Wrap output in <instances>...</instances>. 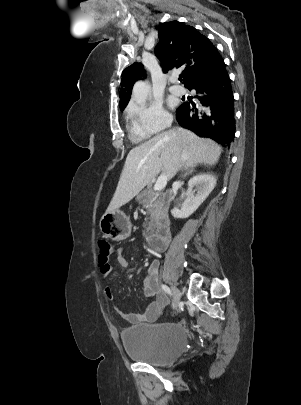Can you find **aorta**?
I'll list each match as a JSON object with an SVG mask.
<instances>
[{
    "label": "aorta",
    "instance_id": "1",
    "mask_svg": "<svg viewBox=\"0 0 301 405\" xmlns=\"http://www.w3.org/2000/svg\"><path fill=\"white\" fill-rule=\"evenodd\" d=\"M150 93V86L144 81H137L132 90V98L138 104L146 102Z\"/></svg>",
    "mask_w": 301,
    "mask_h": 405
}]
</instances>
